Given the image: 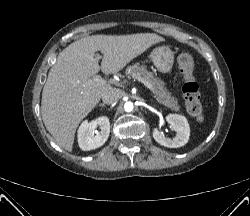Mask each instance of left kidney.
I'll return each instance as SVG.
<instances>
[{
  "label": "left kidney",
  "mask_w": 250,
  "mask_h": 216,
  "mask_svg": "<svg viewBox=\"0 0 250 216\" xmlns=\"http://www.w3.org/2000/svg\"><path fill=\"white\" fill-rule=\"evenodd\" d=\"M166 121L176 132V136L174 138H166L162 132H160L157 128L153 129V138L160 145L168 147V148H178L184 146L190 136V127L187 119L178 114H169L166 116Z\"/></svg>",
  "instance_id": "obj_1"
}]
</instances>
